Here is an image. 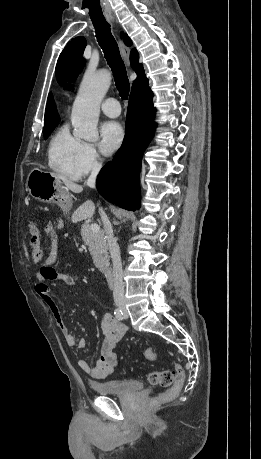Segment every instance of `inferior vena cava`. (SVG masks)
I'll use <instances>...</instances> for the list:
<instances>
[{"label": "inferior vena cava", "instance_id": "602c4592", "mask_svg": "<svg viewBox=\"0 0 261 459\" xmlns=\"http://www.w3.org/2000/svg\"><path fill=\"white\" fill-rule=\"evenodd\" d=\"M101 169V163L94 161L92 163V171L87 180V185L94 188L97 175ZM101 220L104 225V230L106 233L107 244L109 247L111 259H112V277H113V297L116 304H120L124 301V283L122 276V263L120 249L114 238L113 229L111 223L103 211L102 208L99 209Z\"/></svg>", "mask_w": 261, "mask_h": 459}]
</instances>
